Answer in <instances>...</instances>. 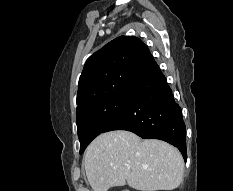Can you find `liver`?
Listing matches in <instances>:
<instances>
[{
	"label": "liver",
	"mask_w": 233,
	"mask_h": 191,
	"mask_svg": "<svg viewBox=\"0 0 233 191\" xmlns=\"http://www.w3.org/2000/svg\"><path fill=\"white\" fill-rule=\"evenodd\" d=\"M84 165L93 191L126 183L140 191L174 190L184 171L175 147L157 139L142 140L126 130L97 136L86 149Z\"/></svg>",
	"instance_id": "6515ba94"
}]
</instances>
